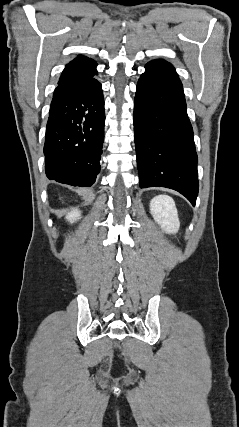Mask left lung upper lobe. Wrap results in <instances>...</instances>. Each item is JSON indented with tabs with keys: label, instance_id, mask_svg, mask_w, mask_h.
I'll return each instance as SVG.
<instances>
[{
	"label": "left lung upper lobe",
	"instance_id": "obj_1",
	"mask_svg": "<svg viewBox=\"0 0 239 427\" xmlns=\"http://www.w3.org/2000/svg\"><path fill=\"white\" fill-rule=\"evenodd\" d=\"M154 61L161 62V63L166 64L168 66H172L170 63H168V62H166L164 60H154Z\"/></svg>",
	"mask_w": 239,
	"mask_h": 427
}]
</instances>
